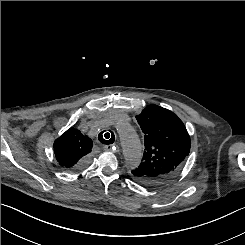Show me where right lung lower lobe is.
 Masks as SVG:
<instances>
[{
    "instance_id": "obj_1",
    "label": "right lung lower lobe",
    "mask_w": 245,
    "mask_h": 245,
    "mask_svg": "<svg viewBox=\"0 0 245 245\" xmlns=\"http://www.w3.org/2000/svg\"><path fill=\"white\" fill-rule=\"evenodd\" d=\"M86 165V160L84 159L75 169H80Z\"/></svg>"
}]
</instances>
